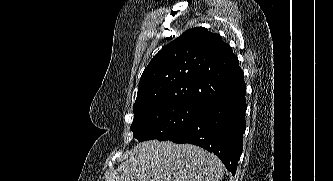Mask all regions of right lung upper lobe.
Returning a JSON list of instances; mask_svg holds the SVG:
<instances>
[{"label":"right lung upper lobe","instance_id":"1","mask_svg":"<svg viewBox=\"0 0 333 181\" xmlns=\"http://www.w3.org/2000/svg\"><path fill=\"white\" fill-rule=\"evenodd\" d=\"M245 88L244 73L230 46L219 35L196 27L152 58L140 78L133 110L173 102L205 106Z\"/></svg>","mask_w":333,"mask_h":181}]
</instances>
